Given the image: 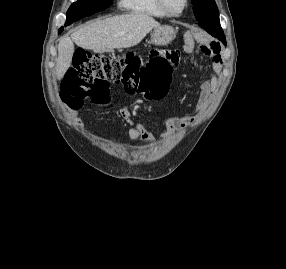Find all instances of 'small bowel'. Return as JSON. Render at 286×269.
Segmentation results:
<instances>
[{
    "mask_svg": "<svg viewBox=\"0 0 286 269\" xmlns=\"http://www.w3.org/2000/svg\"><path fill=\"white\" fill-rule=\"evenodd\" d=\"M194 43L191 40H187L184 46V51L190 53L193 51ZM200 50L204 55L212 58V68L214 75L209 79L202 82L199 86V96L196 103V110L198 115H201L207 108L212 92L218 85V76L220 72V46L217 43H208L200 46ZM179 53L176 60L172 61L173 65L177 66L179 63ZM135 109L125 108L121 112L122 118L131 125L128 130V137L131 141H135L139 138L145 139L148 146L153 147L155 141L150 135L148 128L140 122L134 120ZM196 121V117L192 115H171L165 118L164 127L166 131H180L185 130Z\"/></svg>",
    "mask_w": 286,
    "mask_h": 269,
    "instance_id": "small-bowel-1",
    "label": "small bowel"
}]
</instances>
